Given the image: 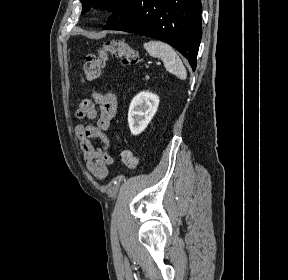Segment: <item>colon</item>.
Segmentation results:
<instances>
[{"label": "colon", "instance_id": "1", "mask_svg": "<svg viewBox=\"0 0 288 280\" xmlns=\"http://www.w3.org/2000/svg\"><path fill=\"white\" fill-rule=\"evenodd\" d=\"M109 58H119L125 65H135L139 62L138 52L126 41L107 40L96 52L87 56L83 65V81L91 82L98 79ZM120 159L129 170L136 169L138 160L130 150L121 151Z\"/></svg>", "mask_w": 288, "mask_h": 280}]
</instances>
